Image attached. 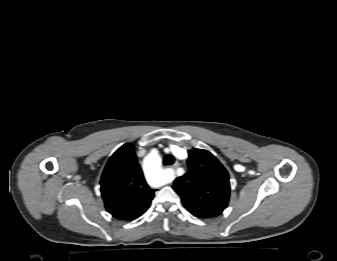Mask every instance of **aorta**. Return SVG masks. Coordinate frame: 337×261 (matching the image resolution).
<instances>
[{
  "label": "aorta",
  "mask_w": 337,
  "mask_h": 261,
  "mask_svg": "<svg viewBox=\"0 0 337 261\" xmlns=\"http://www.w3.org/2000/svg\"><path fill=\"white\" fill-rule=\"evenodd\" d=\"M146 163L149 169V172L153 175H160L164 177V180L161 182L167 183L170 181V170L168 169H162L160 167L161 165V159L158 154L151 153L146 157Z\"/></svg>",
  "instance_id": "1"
}]
</instances>
